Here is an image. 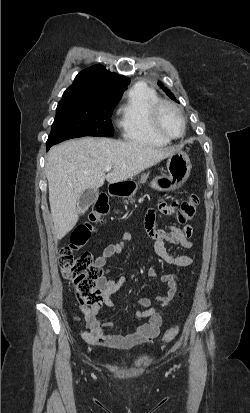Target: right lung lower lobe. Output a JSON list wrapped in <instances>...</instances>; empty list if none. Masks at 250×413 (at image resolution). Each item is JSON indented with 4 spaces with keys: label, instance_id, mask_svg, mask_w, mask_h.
<instances>
[{
    "label": "right lung lower lobe",
    "instance_id": "right-lung-lower-lobe-1",
    "mask_svg": "<svg viewBox=\"0 0 250 413\" xmlns=\"http://www.w3.org/2000/svg\"><path fill=\"white\" fill-rule=\"evenodd\" d=\"M51 146H53V145H48V146H47V150H49V148H50Z\"/></svg>",
    "mask_w": 250,
    "mask_h": 413
}]
</instances>
